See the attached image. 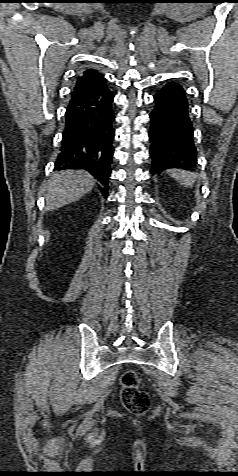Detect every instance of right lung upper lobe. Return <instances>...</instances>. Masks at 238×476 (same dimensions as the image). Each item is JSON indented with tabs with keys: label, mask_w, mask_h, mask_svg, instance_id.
<instances>
[{
	"label": "right lung upper lobe",
	"mask_w": 238,
	"mask_h": 476,
	"mask_svg": "<svg viewBox=\"0 0 238 476\" xmlns=\"http://www.w3.org/2000/svg\"><path fill=\"white\" fill-rule=\"evenodd\" d=\"M103 75L98 73V71L93 69H87L83 72L81 76L77 78L73 92L71 93V100H74L80 97L83 93L91 89L98 79L102 78Z\"/></svg>",
	"instance_id": "1"
}]
</instances>
